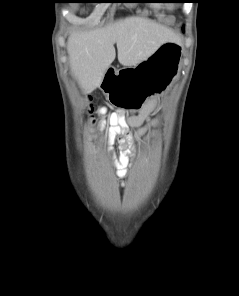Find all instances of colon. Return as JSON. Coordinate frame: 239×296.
I'll return each mask as SVG.
<instances>
[{
  "label": "colon",
  "instance_id": "colon-1",
  "mask_svg": "<svg viewBox=\"0 0 239 296\" xmlns=\"http://www.w3.org/2000/svg\"><path fill=\"white\" fill-rule=\"evenodd\" d=\"M118 74H119V72H118ZM115 79H117V76H116V78ZM95 122V120H94V118L93 117H91V119H90V123L92 124V123H94Z\"/></svg>",
  "mask_w": 239,
  "mask_h": 296
}]
</instances>
